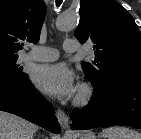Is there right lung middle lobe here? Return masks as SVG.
I'll return each mask as SVG.
<instances>
[{
  "label": "right lung middle lobe",
  "mask_w": 141,
  "mask_h": 139,
  "mask_svg": "<svg viewBox=\"0 0 141 139\" xmlns=\"http://www.w3.org/2000/svg\"><path fill=\"white\" fill-rule=\"evenodd\" d=\"M17 60L18 56H0V84L17 83L28 78Z\"/></svg>",
  "instance_id": "1"
}]
</instances>
